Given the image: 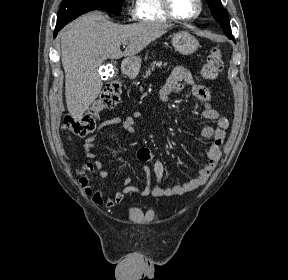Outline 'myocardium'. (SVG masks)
I'll list each match as a JSON object with an SVG mask.
<instances>
[{"mask_svg":"<svg viewBox=\"0 0 288 280\" xmlns=\"http://www.w3.org/2000/svg\"><path fill=\"white\" fill-rule=\"evenodd\" d=\"M161 1V6L162 9L164 11V13L167 15V17L173 21L176 22H181V23H187V22H192L194 20H196L202 13L203 10V0H197V11L194 15H192L191 17L188 18H181L178 17L173 9H172V5H171V0H160Z\"/></svg>","mask_w":288,"mask_h":280,"instance_id":"1","label":"myocardium"}]
</instances>
